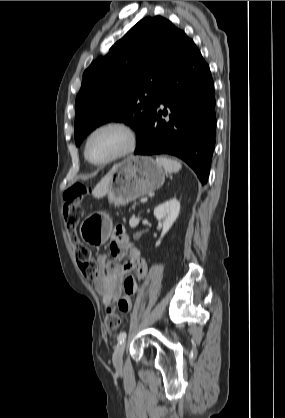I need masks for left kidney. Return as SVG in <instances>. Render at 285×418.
Masks as SVG:
<instances>
[{"label": "left kidney", "mask_w": 285, "mask_h": 418, "mask_svg": "<svg viewBox=\"0 0 285 418\" xmlns=\"http://www.w3.org/2000/svg\"><path fill=\"white\" fill-rule=\"evenodd\" d=\"M179 212L180 202L176 198L165 201L154 209V216L158 221H162L163 224L162 233L156 242V246L160 245L162 238L178 218Z\"/></svg>", "instance_id": "1"}]
</instances>
